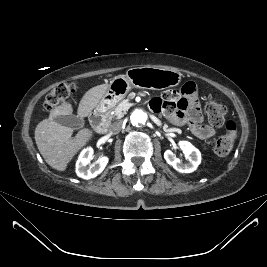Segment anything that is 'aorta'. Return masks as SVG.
<instances>
[{
    "mask_svg": "<svg viewBox=\"0 0 267 267\" xmlns=\"http://www.w3.org/2000/svg\"><path fill=\"white\" fill-rule=\"evenodd\" d=\"M131 123L136 127L144 126L148 121L147 113L141 109H136L132 112Z\"/></svg>",
    "mask_w": 267,
    "mask_h": 267,
    "instance_id": "762f6f07",
    "label": "aorta"
}]
</instances>
